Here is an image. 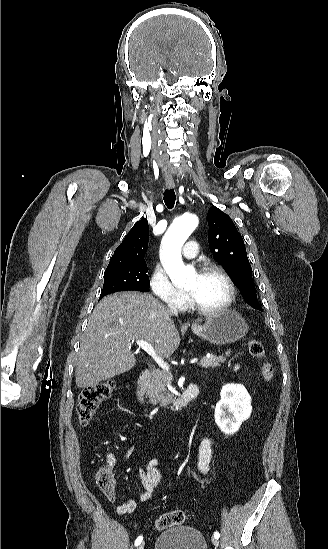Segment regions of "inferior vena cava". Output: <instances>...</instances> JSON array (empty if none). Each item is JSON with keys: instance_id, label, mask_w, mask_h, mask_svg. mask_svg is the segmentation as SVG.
<instances>
[{"instance_id": "inferior-vena-cava-1", "label": "inferior vena cava", "mask_w": 328, "mask_h": 549, "mask_svg": "<svg viewBox=\"0 0 328 549\" xmlns=\"http://www.w3.org/2000/svg\"><path fill=\"white\" fill-rule=\"evenodd\" d=\"M168 311L170 315H178V307L175 303H168Z\"/></svg>"}]
</instances>
